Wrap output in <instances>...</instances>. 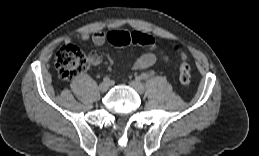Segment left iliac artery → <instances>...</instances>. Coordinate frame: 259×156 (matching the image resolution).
<instances>
[{"label":"left iliac artery","mask_w":259,"mask_h":156,"mask_svg":"<svg viewBox=\"0 0 259 156\" xmlns=\"http://www.w3.org/2000/svg\"><path fill=\"white\" fill-rule=\"evenodd\" d=\"M140 78H141L142 80H147V79L149 78V75L146 74V73H142V74L140 75Z\"/></svg>","instance_id":"1"}]
</instances>
